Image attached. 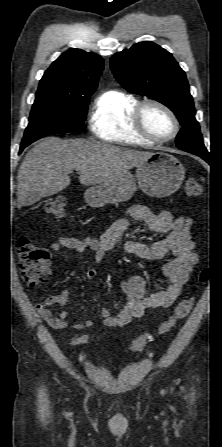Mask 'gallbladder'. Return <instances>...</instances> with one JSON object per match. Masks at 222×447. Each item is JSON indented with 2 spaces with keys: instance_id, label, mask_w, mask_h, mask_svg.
<instances>
[{
  "instance_id": "bac80fb5",
  "label": "gallbladder",
  "mask_w": 222,
  "mask_h": 447,
  "mask_svg": "<svg viewBox=\"0 0 222 447\" xmlns=\"http://www.w3.org/2000/svg\"><path fill=\"white\" fill-rule=\"evenodd\" d=\"M39 200H40V198L38 196L33 197V198H28L26 201V205L29 206V205L35 204Z\"/></svg>"
}]
</instances>
